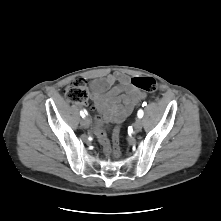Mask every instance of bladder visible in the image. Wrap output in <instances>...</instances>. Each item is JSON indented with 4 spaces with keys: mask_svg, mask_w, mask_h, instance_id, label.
<instances>
[{
    "mask_svg": "<svg viewBox=\"0 0 221 221\" xmlns=\"http://www.w3.org/2000/svg\"><path fill=\"white\" fill-rule=\"evenodd\" d=\"M98 118L103 129L108 127L111 123V120L107 114H104V116H99Z\"/></svg>",
    "mask_w": 221,
    "mask_h": 221,
    "instance_id": "31cf9c89",
    "label": "bladder"
}]
</instances>
